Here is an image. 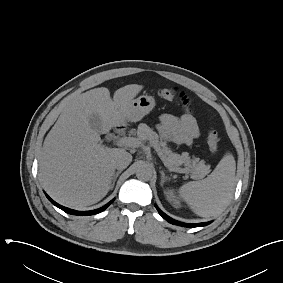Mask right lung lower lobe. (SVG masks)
I'll return each instance as SVG.
<instances>
[{
	"label": "right lung lower lobe",
	"mask_w": 283,
	"mask_h": 283,
	"mask_svg": "<svg viewBox=\"0 0 283 283\" xmlns=\"http://www.w3.org/2000/svg\"><path fill=\"white\" fill-rule=\"evenodd\" d=\"M46 196L55 206H57L58 208L62 209L66 213L73 214V215H93V214H97V213L102 212L103 210H105L113 202V200H111L109 203H107L103 207H101L99 209H96V210L86 211V212H79V211H75V210L63 207V206L59 205L58 203H56L55 201H53L48 195H46Z\"/></svg>",
	"instance_id": "98d812e1"
}]
</instances>
